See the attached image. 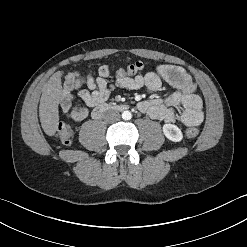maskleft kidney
<instances>
[{
	"label": "left kidney",
	"mask_w": 247,
	"mask_h": 247,
	"mask_svg": "<svg viewBox=\"0 0 247 247\" xmlns=\"http://www.w3.org/2000/svg\"><path fill=\"white\" fill-rule=\"evenodd\" d=\"M163 133L167 139L173 142H180L183 138L181 130L174 124H164Z\"/></svg>",
	"instance_id": "5707ae66"
}]
</instances>
